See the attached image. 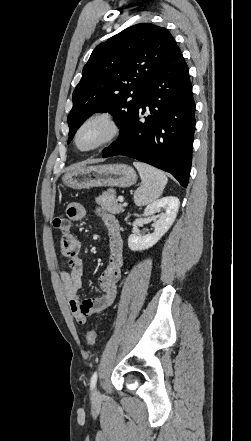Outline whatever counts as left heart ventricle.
I'll list each match as a JSON object with an SVG mask.
<instances>
[{
	"instance_id": "b2bd125f",
	"label": "left heart ventricle",
	"mask_w": 251,
	"mask_h": 441,
	"mask_svg": "<svg viewBox=\"0 0 251 441\" xmlns=\"http://www.w3.org/2000/svg\"><path fill=\"white\" fill-rule=\"evenodd\" d=\"M107 127L101 122H95L85 127L79 136V145L89 148L98 143L106 134Z\"/></svg>"
}]
</instances>
